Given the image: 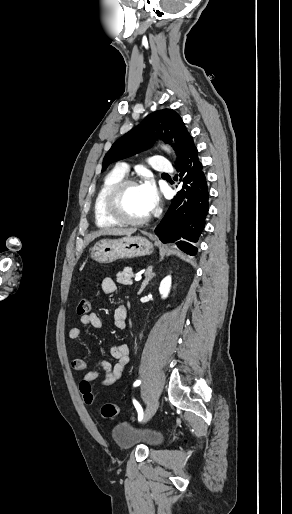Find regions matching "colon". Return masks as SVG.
<instances>
[{
  "label": "colon",
  "mask_w": 292,
  "mask_h": 514,
  "mask_svg": "<svg viewBox=\"0 0 292 514\" xmlns=\"http://www.w3.org/2000/svg\"><path fill=\"white\" fill-rule=\"evenodd\" d=\"M91 302L88 299H80L77 303V314L78 315H86L90 312ZM79 394L85 395V400L88 403H92L94 401V397L91 393V384L88 381H83L79 387ZM118 414V407L114 403H103L100 406V415L104 419L113 418Z\"/></svg>",
  "instance_id": "colon-1"
}]
</instances>
